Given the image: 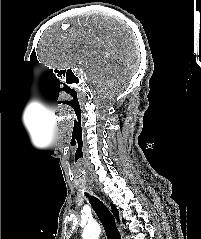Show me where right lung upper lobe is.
<instances>
[{
	"instance_id": "1",
	"label": "right lung upper lobe",
	"mask_w": 201,
	"mask_h": 239,
	"mask_svg": "<svg viewBox=\"0 0 201 239\" xmlns=\"http://www.w3.org/2000/svg\"><path fill=\"white\" fill-rule=\"evenodd\" d=\"M111 208H112V211H113V214H114L115 218H116L117 220H119L118 210H117V208L115 207V205H113L112 203H111ZM123 222H124V220H123ZM124 223H125V222H124Z\"/></svg>"
}]
</instances>
